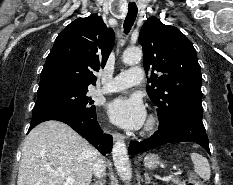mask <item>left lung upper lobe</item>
I'll use <instances>...</instances> for the list:
<instances>
[{
  "label": "left lung upper lobe",
  "mask_w": 233,
  "mask_h": 185,
  "mask_svg": "<svg viewBox=\"0 0 233 185\" xmlns=\"http://www.w3.org/2000/svg\"><path fill=\"white\" fill-rule=\"evenodd\" d=\"M139 43L143 65L153 69L146 90L157 106L159 126L168 124L186 104L202 100V75L195 48L176 27L150 17L142 26ZM154 70L158 74L154 73Z\"/></svg>",
  "instance_id": "1"
}]
</instances>
